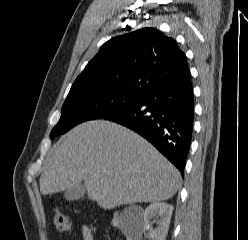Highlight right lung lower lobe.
<instances>
[{
  "mask_svg": "<svg viewBox=\"0 0 248 240\" xmlns=\"http://www.w3.org/2000/svg\"><path fill=\"white\" fill-rule=\"evenodd\" d=\"M104 119L146 138L183 175L194 121L191 75L147 93L134 105Z\"/></svg>",
  "mask_w": 248,
  "mask_h": 240,
  "instance_id": "1",
  "label": "right lung lower lobe"
}]
</instances>
